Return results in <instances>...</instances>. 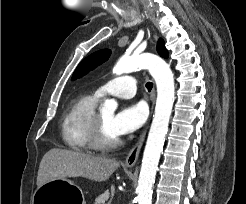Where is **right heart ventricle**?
Instances as JSON below:
<instances>
[{"instance_id": "obj_1", "label": "right heart ventricle", "mask_w": 246, "mask_h": 204, "mask_svg": "<svg viewBox=\"0 0 246 204\" xmlns=\"http://www.w3.org/2000/svg\"><path fill=\"white\" fill-rule=\"evenodd\" d=\"M97 97L81 95L73 99L62 119V138L71 149L85 151L92 148L90 130L96 114Z\"/></svg>"}]
</instances>
